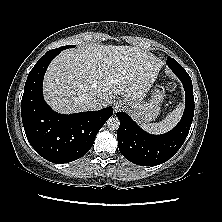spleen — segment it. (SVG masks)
Returning <instances> with one entry per match:
<instances>
[{
    "label": "spleen",
    "instance_id": "spleen-1",
    "mask_svg": "<svg viewBox=\"0 0 222 222\" xmlns=\"http://www.w3.org/2000/svg\"><path fill=\"white\" fill-rule=\"evenodd\" d=\"M184 110L183 103L172 111L164 120L157 123H144L142 128L152 134H162L172 129L180 120Z\"/></svg>",
    "mask_w": 222,
    "mask_h": 222
}]
</instances>
